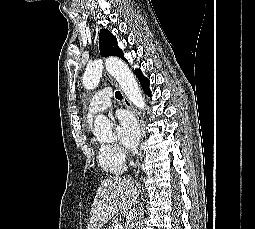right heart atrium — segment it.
I'll return each instance as SVG.
<instances>
[{"mask_svg": "<svg viewBox=\"0 0 255 229\" xmlns=\"http://www.w3.org/2000/svg\"><path fill=\"white\" fill-rule=\"evenodd\" d=\"M109 152L113 159L118 161H125L126 158V152L117 145H109Z\"/></svg>", "mask_w": 255, "mask_h": 229, "instance_id": "1", "label": "right heart atrium"}]
</instances>
